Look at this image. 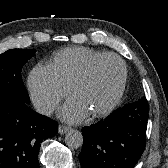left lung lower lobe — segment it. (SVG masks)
I'll use <instances>...</instances> for the list:
<instances>
[{
    "label": "left lung lower lobe",
    "mask_w": 168,
    "mask_h": 168,
    "mask_svg": "<svg viewBox=\"0 0 168 168\" xmlns=\"http://www.w3.org/2000/svg\"><path fill=\"white\" fill-rule=\"evenodd\" d=\"M148 102H134L84 127L82 168H133L144 152Z\"/></svg>",
    "instance_id": "left-lung-lower-lobe-1"
}]
</instances>
